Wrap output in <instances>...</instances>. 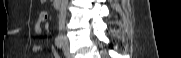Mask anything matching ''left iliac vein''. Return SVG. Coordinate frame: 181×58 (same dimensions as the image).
I'll list each match as a JSON object with an SVG mask.
<instances>
[{"mask_svg": "<svg viewBox=\"0 0 181 58\" xmlns=\"http://www.w3.org/2000/svg\"><path fill=\"white\" fill-rule=\"evenodd\" d=\"M63 52L67 58H70L71 55H70L69 48H68V42L65 37L63 38Z\"/></svg>", "mask_w": 181, "mask_h": 58, "instance_id": "obj_1", "label": "left iliac vein"}]
</instances>
